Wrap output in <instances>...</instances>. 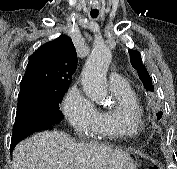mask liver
Segmentation results:
<instances>
[{
    "instance_id": "1",
    "label": "liver",
    "mask_w": 177,
    "mask_h": 169,
    "mask_svg": "<svg viewBox=\"0 0 177 169\" xmlns=\"http://www.w3.org/2000/svg\"><path fill=\"white\" fill-rule=\"evenodd\" d=\"M132 165L128 152L78 143L58 131L37 133L12 153V169H130Z\"/></svg>"
}]
</instances>
